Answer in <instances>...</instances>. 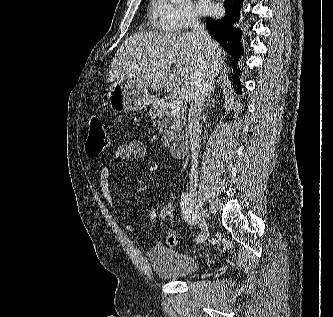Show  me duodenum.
<instances>
[{
	"mask_svg": "<svg viewBox=\"0 0 333 317\" xmlns=\"http://www.w3.org/2000/svg\"><path fill=\"white\" fill-rule=\"evenodd\" d=\"M188 147V136L186 134H181L173 140L170 146L171 155L176 159H180L187 153Z\"/></svg>",
	"mask_w": 333,
	"mask_h": 317,
	"instance_id": "obj_1",
	"label": "duodenum"
}]
</instances>
